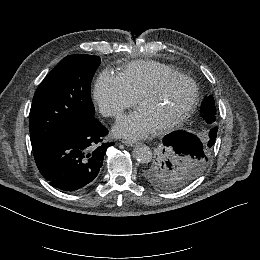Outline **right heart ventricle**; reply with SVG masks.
<instances>
[{
    "instance_id": "1",
    "label": "right heart ventricle",
    "mask_w": 260,
    "mask_h": 260,
    "mask_svg": "<svg viewBox=\"0 0 260 260\" xmlns=\"http://www.w3.org/2000/svg\"><path fill=\"white\" fill-rule=\"evenodd\" d=\"M177 70L156 61H140L131 63L120 74V78L128 92L137 98L139 93L152 81L159 77L174 75Z\"/></svg>"
}]
</instances>
